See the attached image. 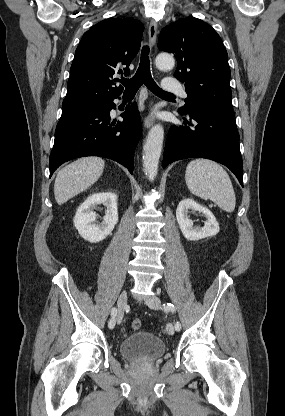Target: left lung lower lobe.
I'll return each mask as SVG.
<instances>
[{
    "mask_svg": "<svg viewBox=\"0 0 285 416\" xmlns=\"http://www.w3.org/2000/svg\"><path fill=\"white\" fill-rule=\"evenodd\" d=\"M187 113L195 125L184 119V124L192 127L171 126L165 145L163 168L186 158L211 159L227 166L243 186L239 133L233 111L202 108Z\"/></svg>",
    "mask_w": 285,
    "mask_h": 416,
    "instance_id": "obj_1",
    "label": "left lung lower lobe"
}]
</instances>
